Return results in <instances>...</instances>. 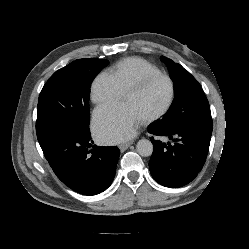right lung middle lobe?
<instances>
[{
  "instance_id": "obj_1",
  "label": "right lung middle lobe",
  "mask_w": 249,
  "mask_h": 249,
  "mask_svg": "<svg viewBox=\"0 0 249 249\" xmlns=\"http://www.w3.org/2000/svg\"><path fill=\"white\" fill-rule=\"evenodd\" d=\"M103 59H78L56 71L42 88L37 106L39 144L71 133H88L93 79L108 65Z\"/></svg>"
}]
</instances>
